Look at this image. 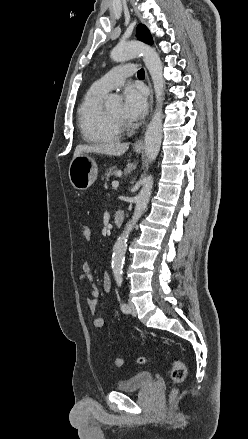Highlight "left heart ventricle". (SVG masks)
I'll use <instances>...</instances> for the list:
<instances>
[{
  "label": "left heart ventricle",
  "instance_id": "b2bd125f",
  "mask_svg": "<svg viewBox=\"0 0 248 439\" xmlns=\"http://www.w3.org/2000/svg\"><path fill=\"white\" fill-rule=\"evenodd\" d=\"M106 113L114 119L124 120L123 109L121 104H116L106 110Z\"/></svg>",
  "mask_w": 248,
  "mask_h": 439
}]
</instances>
